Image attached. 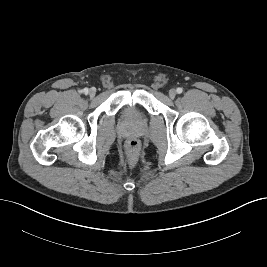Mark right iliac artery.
<instances>
[{
  "label": "right iliac artery",
  "instance_id": "82829eb1",
  "mask_svg": "<svg viewBox=\"0 0 267 267\" xmlns=\"http://www.w3.org/2000/svg\"><path fill=\"white\" fill-rule=\"evenodd\" d=\"M88 91H89L88 88L83 89V93H85V94H88Z\"/></svg>",
  "mask_w": 267,
  "mask_h": 267
}]
</instances>
